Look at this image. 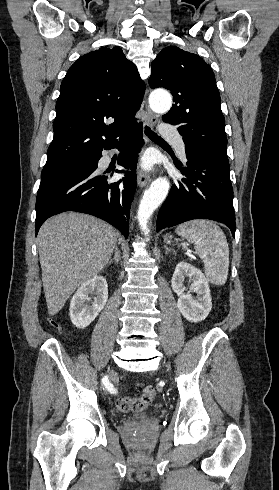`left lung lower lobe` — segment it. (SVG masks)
Listing matches in <instances>:
<instances>
[{"instance_id":"obj_1","label":"left lung lower lobe","mask_w":279,"mask_h":490,"mask_svg":"<svg viewBox=\"0 0 279 490\" xmlns=\"http://www.w3.org/2000/svg\"><path fill=\"white\" fill-rule=\"evenodd\" d=\"M187 167L175 163L186 176L173 184L158 214L157 232L193 219H209L228 226L236 223L229 161L205 146H186Z\"/></svg>"}]
</instances>
